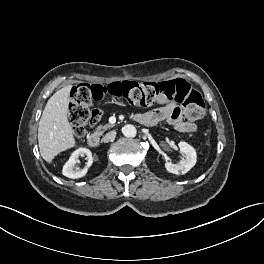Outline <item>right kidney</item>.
Here are the masks:
<instances>
[{"label":"right kidney","mask_w":264,"mask_h":264,"mask_svg":"<svg viewBox=\"0 0 264 264\" xmlns=\"http://www.w3.org/2000/svg\"><path fill=\"white\" fill-rule=\"evenodd\" d=\"M80 156H86L87 159L86 167L83 169L75 167L76 163L79 162ZM92 163L93 158L91 151L87 148H78L71 154L69 160L63 166L62 174L71 179L84 177L87 174L88 168L92 165Z\"/></svg>","instance_id":"obj_1"}]
</instances>
